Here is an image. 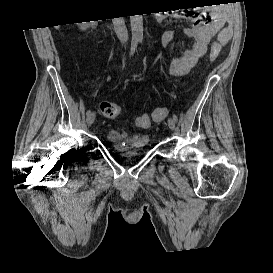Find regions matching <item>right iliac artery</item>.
I'll use <instances>...</instances> for the list:
<instances>
[{"instance_id": "1", "label": "right iliac artery", "mask_w": 273, "mask_h": 273, "mask_svg": "<svg viewBox=\"0 0 273 273\" xmlns=\"http://www.w3.org/2000/svg\"><path fill=\"white\" fill-rule=\"evenodd\" d=\"M136 48H137V43H136V42H133V43L131 44V49H130L129 57H131V56L134 54ZM89 113H91V110H90V109L87 110L86 115H88Z\"/></svg>"}]
</instances>
